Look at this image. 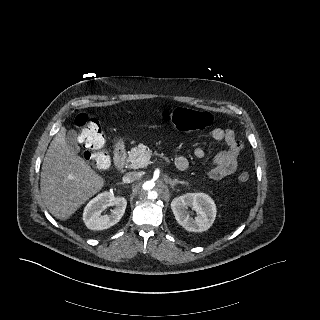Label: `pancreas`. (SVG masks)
Here are the masks:
<instances>
[{"label": "pancreas", "mask_w": 320, "mask_h": 320, "mask_svg": "<svg viewBox=\"0 0 320 320\" xmlns=\"http://www.w3.org/2000/svg\"><path fill=\"white\" fill-rule=\"evenodd\" d=\"M150 155L147 147L144 144H139L128 152L127 166L132 169L143 168L148 164Z\"/></svg>", "instance_id": "obj_1"}]
</instances>
